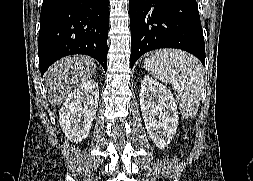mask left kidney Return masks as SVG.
<instances>
[{"label":"left kidney","mask_w":253,"mask_h":181,"mask_svg":"<svg viewBox=\"0 0 253 181\" xmlns=\"http://www.w3.org/2000/svg\"><path fill=\"white\" fill-rule=\"evenodd\" d=\"M140 106L150 138L158 148L164 149L178 126L177 105L171 91L145 76L141 83Z\"/></svg>","instance_id":"obj_1"}]
</instances>
